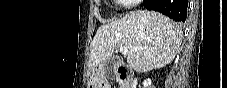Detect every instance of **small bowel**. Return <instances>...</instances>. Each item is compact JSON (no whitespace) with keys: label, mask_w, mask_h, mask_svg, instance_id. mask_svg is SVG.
<instances>
[{"label":"small bowel","mask_w":227,"mask_h":88,"mask_svg":"<svg viewBox=\"0 0 227 88\" xmlns=\"http://www.w3.org/2000/svg\"><path fill=\"white\" fill-rule=\"evenodd\" d=\"M105 88H109V86H105Z\"/></svg>","instance_id":"1"}]
</instances>
